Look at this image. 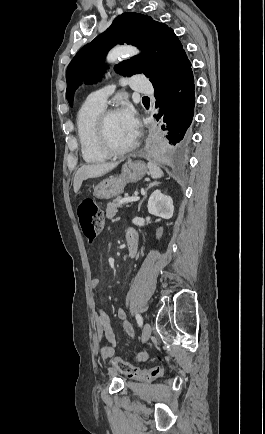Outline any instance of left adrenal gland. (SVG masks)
Returning a JSON list of instances; mask_svg holds the SVG:
<instances>
[{
	"instance_id": "a2214340",
	"label": "left adrenal gland",
	"mask_w": 265,
	"mask_h": 434,
	"mask_svg": "<svg viewBox=\"0 0 265 434\" xmlns=\"http://www.w3.org/2000/svg\"><path fill=\"white\" fill-rule=\"evenodd\" d=\"M158 184H160V182H150V184H148V188H146L145 194H144L142 200H140V202L138 204V212H140V208H141L145 198H147V190H149V188H153V186H158Z\"/></svg>"
}]
</instances>
